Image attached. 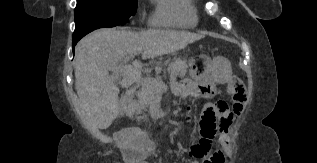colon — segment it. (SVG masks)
I'll return each instance as SVG.
<instances>
[{
    "instance_id": "obj_1",
    "label": "colon",
    "mask_w": 317,
    "mask_h": 163,
    "mask_svg": "<svg viewBox=\"0 0 317 163\" xmlns=\"http://www.w3.org/2000/svg\"><path fill=\"white\" fill-rule=\"evenodd\" d=\"M229 94L232 96L234 105L239 104L244 98L247 100L244 86L237 78L231 80L229 84ZM225 109L226 104L222 101L205 105L200 116V130L203 133H216L219 130L220 117ZM143 140L144 138L142 136H135L133 138L135 143H140ZM143 155L144 153L139 149L131 151V156L135 159L141 158Z\"/></svg>"
}]
</instances>
